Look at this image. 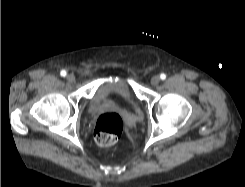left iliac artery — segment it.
<instances>
[{
    "label": "left iliac artery",
    "mask_w": 245,
    "mask_h": 187,
    "mask_svg": "<svg viewBox=\"0 0 245 187\" xmlns=\"http://www.w3.org/2000/svg\"><path fill=\"white\" fill-rule=\"evenodd\" d=\"M160 78H161L162 80H164V79H166V75H165L164 73H162V74L160 75Z\"/></svg>",
    "instance_id": "44dca946"
}]
</instances>
